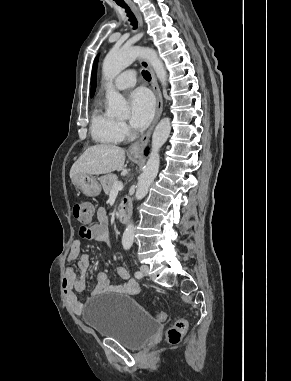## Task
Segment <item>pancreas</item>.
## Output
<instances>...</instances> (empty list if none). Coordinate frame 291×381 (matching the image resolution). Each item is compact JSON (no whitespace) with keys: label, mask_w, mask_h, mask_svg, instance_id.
Returning <instances> with one entry per match:
<instances>
[{"label":"pancreas","mask_w":291,"mask_h":381,"mask_svg":"<svg viewBox=\"0 0 291 381\" xmlns=\"http://www.w3.org/2000/svg\"><path fill=\"white\" fill-rule=\"evenodd\" d=\"M101 185L106 195L111 193L113 185L117 182L115 174H107L100 178Z\"/></svg>","instance_id":"cf45deb5"}]
</instances>
